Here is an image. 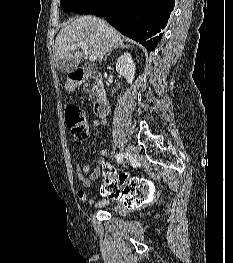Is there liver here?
<instances>
[{
    "label": "liver",
    "mask_w": 233,
    "mask_h": 263,
    "mask_svg": "<svg viewBox=\"0 0 233 263\" xmlns=\"http://www.w3.org/2000/svg\"><path fill=\"white\" fill-rule=\"evenodd\" d=\"M121 41L120 33L106 21L92 16H81L58 33L55 40V60L58 63L66 59L69 71H73L81 62L82 48L76 46L75 50H71L72 46L80 42L86 43L89 53L101 61L103 56Z\"/></svg>",
    "instance_id": "obj_1"
}]
</instances>
